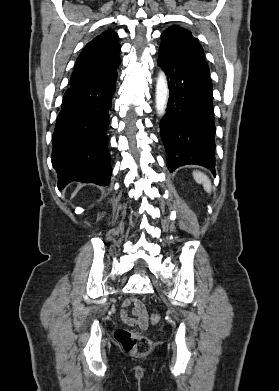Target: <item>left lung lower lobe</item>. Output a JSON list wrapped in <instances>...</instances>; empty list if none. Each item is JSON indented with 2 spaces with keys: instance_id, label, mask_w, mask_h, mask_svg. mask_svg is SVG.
I'll return each instance as SVG.
<instances>
[{
  "instance_id": "left-lung-lower-lobe-1",
  "label": "left lung lower lobe",
  "mask_w": 279,
  "mask_h": 391,
  "mask_svg": "<svg viewBox=\"0 0 279 391\" xmlns=\"http://www.w3.org/2000/svg\"><path fill=\"white\" fill-rule=\"evenodd\" d=\"M170 95L160 129L167 152V167L186 164L212 169L215 174L214 113L210 76L158 50Z\"/></svg>"
}]
</instances>
